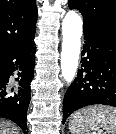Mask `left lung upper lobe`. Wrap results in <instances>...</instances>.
I'll return each mask as SVG.
<instances>
[{"instance_id": "1", "label": "left lung upper lobe", "mask_w": 116, "mask_h": 134, "mask_svg": "<svg viewBox=\"0 0 116 134\" xmlns=\"http://www.w3.org/2000/svg\"><path fill=\"white\" fill-rule=\"evenodd\" d=\"M68 6L82 13L84 27L97 26L116 31V0H69Z\"/></svg>"}]
</instances>
